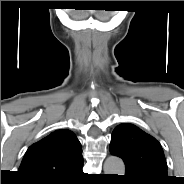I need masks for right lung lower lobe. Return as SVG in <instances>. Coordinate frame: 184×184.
<instances>
[{
  "label": "right lung lower lobe",
  "mask_w": 184,
  "mask_h": 184,
  "mask_svg": "<svg viewBox=\"0 0 184 184\" xmlns=\"http://www.w3.org/2000/svg\"><path fill=\"white\" fill-rule=\"evenodd\" d=\"M83 173L82 171V167H80L76 172H74L70 177H68L67 179L61 180V181H57V182H39L37 184H75L77 183V178L79 176H81Z\"/></svg>",
  "instance_id": "98d812e1"
}]
</instances>
